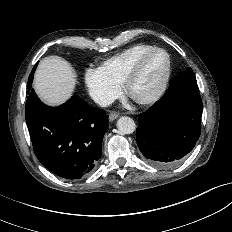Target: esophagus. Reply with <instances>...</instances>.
Here are the masks:
<instances>
[{
    "instance_id": "1",
    "label": "esophagus",
    "mask_w": 232,
    "mask_h": 232,
    "mask_svg": "<svg viewBox=\"0 0 232 232\" xmlns=\"http://www.w3.org/2000/svg\"><path fill=\"white\" fill-rule=\"evenodd\" d=\"M119 117V114L117 113H110L109 114V120L110 121H114L115 119H117Z\"/></svg>"
}]
</instances>
